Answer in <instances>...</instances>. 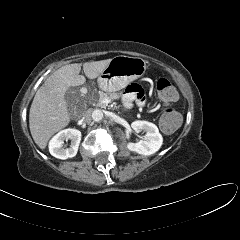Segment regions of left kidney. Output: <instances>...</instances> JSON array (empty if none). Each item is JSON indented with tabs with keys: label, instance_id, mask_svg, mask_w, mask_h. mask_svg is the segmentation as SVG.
Listing matches in <instances>:
<instances>
[{
	"label": "left kidney",
	"instance_id": "1",
	"mask_svg": "<svg viewBox=\"0 0 240 240\" xmlns=\"http://www.w3.org/2000/svg\"><path fill=\"white\" fill-rule=\"evenodd\" d=\"M131 127L135 132H146L144 139L139 142L127 144L130 151L136 152L141 155H152L156 153L162 146L163 138L159 133L157 126L148 121H134Z\"/></svg>",
	"mask_w": 240,
	"mask_h": 240
}]
</instances>
